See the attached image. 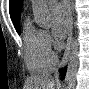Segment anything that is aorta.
<instances>
[{"label": "aorta", "instance_id": "1", "mask_svg": "<svg viewBox=\"0 0 89 89\" xmlns=\"http://www.w3.org/2000/svg\"><path fill=\"white\" fill-rule=\"evenodd\" d=\"M32 9L35 22L43 28H49L51 26V15L47 1L32 0ZM77 35L78 32L75 31V37L71 40L68 49V68L65 77V89H75L76 86V75L79 66V42Z\"/></svg>", "mask_w": 89, "mask_h": 89}]
</instances>
